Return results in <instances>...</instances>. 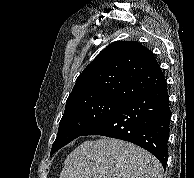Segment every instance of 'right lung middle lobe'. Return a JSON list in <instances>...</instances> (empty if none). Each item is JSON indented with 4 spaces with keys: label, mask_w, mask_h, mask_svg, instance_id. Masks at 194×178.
Wrapping results in <instances>:
<instances>
[{
    "label": "right lung middle lobe",
    "mask_w": 194,
    "mask_h": 178,
    "mask_svg": "<svg viewBox=\"0 0 194 178\" xmlns=\"http://www.w3.org/2000/svg\"><path fill=\"white\" fill-rule=\"evenodd\" d=\"M125 101L115 98L94 97L66 103L65 112L51 154L81 136L94 124L113 112Z\"/></svg>",
    "instance_id": "right-lung-middle-lobe-1"
}]
</instances>
